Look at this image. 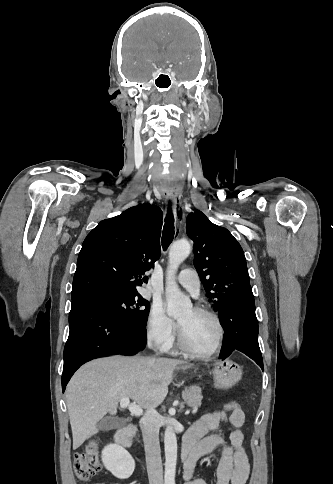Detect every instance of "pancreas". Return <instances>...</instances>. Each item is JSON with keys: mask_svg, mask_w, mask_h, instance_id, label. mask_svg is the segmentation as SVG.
Returning <instances> with one entry per match:
<instances>
[{"mask_svg": "<svg viewBox=\"0 0 333 484\" xmlns=\"http://www.w3.org/2000/svg\"><path fill=\"white\" fill-rule=\"evenodd\" d=\"M182 397L189 407L197 409L202 400L201 388L196 385L190 386L183 391Z\"/></svg>", "mask_w": 333, "mask_h": 484, "instance_id": "obj_1", "label": "pancreas"}]
</instances>
